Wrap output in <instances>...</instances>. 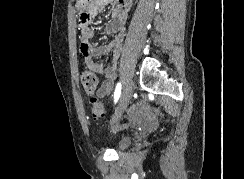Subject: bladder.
<instances>
[{
	"label": "bladder",
	"mask_w": 244,
	"mask_h": 179,
	"mask_svg": "<svg viewBox=\"0 0 244 179\" xmlns=\"http://www.w3.org/2000/svg\"><path fill=\"white\" fill-rule=\"evenodd\" d=\"M134 138L133 137H121L119 139L118 149L120 151L127 150L129 147L133 146Z\"/></svg>",
	"instance_id": "bladder-1"
}]
</instances>
